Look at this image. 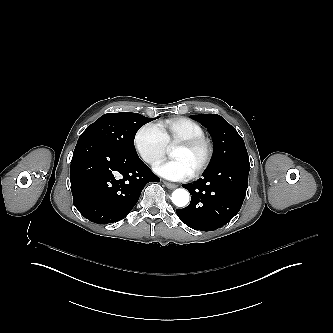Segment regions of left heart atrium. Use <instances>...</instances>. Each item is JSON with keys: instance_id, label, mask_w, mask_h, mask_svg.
<instances>
[{"instance_id": "1", "label": "left heart atrium", "mask_w": 333, "mask_h": 333, "mask_svg": "<svg viewBox=\"0 0 333 333\" xmlns=\"http://www.w3.org/2000/svg\"><path fill=\"white\" fill-rule=\"evenodd\" d=\"M156 172L169 180L186 181L193 177L194 170L180 160H167L156 168Z\"/></svg>"}]
</instances>
